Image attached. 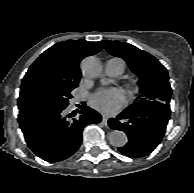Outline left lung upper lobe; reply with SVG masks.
Returning a JSON list of instances; mask_svg holds the SVG:
<instances>
[{
  "mask_svg": "<svg viewBox=\"0 0 194 193\" xmlns=\"http://www.w3.org/2000/svg\"><path fill=\"white\" fill-rule=\"evenodd\" d=\"M103 43L110 54L124 59L130 69L139 75V96L127 109L169 104L172 90L168 72L155 57L128 43L118 41Z\"/></svg>",
  "mask_w": 194,
  "mask_h": 193,
  "instance_id": "1",
  "label": "left lung upper lobe"
}]
</instances>
